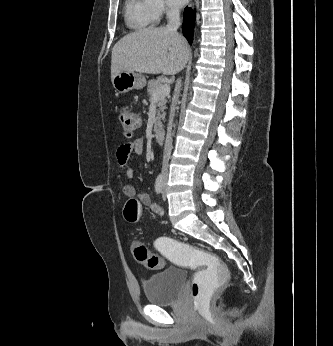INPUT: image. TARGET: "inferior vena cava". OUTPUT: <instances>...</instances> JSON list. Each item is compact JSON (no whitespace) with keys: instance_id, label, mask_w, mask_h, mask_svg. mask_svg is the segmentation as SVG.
<instances>
[{"instance_id":"1","label":"inferior vena cava","mask_w":333,"mask_h":346,"mask_svg":"<svg viewBox=\"0 0 333 346\" xmlns=\"http://www.w3.org/2000/svg\"><path fill=\"white\" fill-rule=\"evenodd\" d=\"M167 18H168V23L166 28L170 31L176 32L178 27L181 24L179 9L177 7H171L167 12ZM180 89H181V79H178L176 83V87H175L174 102L172 103V106L170 109V117H169L166 140L164 145V155H163V163H162V171L164 175H166L168 172V162L171 156L173 118L175 113V104L178 99Z\"/></svg>"}]
</instances>
